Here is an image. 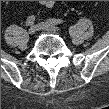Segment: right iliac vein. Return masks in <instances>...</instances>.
I'll list each match as a JSON object with an SVG mask.
<instances>
[{
    "mask_svg": "<svg viewBox=\"0 0 109 109\" xmlns=\"http://www.w3.org/2000/svg\"><path fill=\"white\" fill-rule=\"evenodd\" d=\"M36 31H37V27L36 26L30 27L29 30H28L29 34H31V35L35 34Z\"/></svg>",
    "mask_w": 109,
    "mask_h": 109,
    "instance_id": "right-iliac-vein-1",
    "label": "right iliac vein"
}]
</instances>
